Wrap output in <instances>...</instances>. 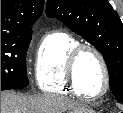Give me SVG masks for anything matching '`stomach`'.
<instances>
[{"label": "stomach", "mask_w": 123, "mask_h": 113, "mask_svg": "<svg viewBox=\"0 0 123 113\" xmlns=\"http://www.w3.org/2000/svg\"><path fill=\"white\" fill-rule=\"evenodd\" d=\"M77 113H93L92 111H81V112H77Z\"/></svg>", "instance_id": "stomach-1"}]
</instances>
